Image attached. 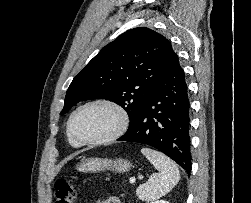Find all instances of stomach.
I'll use <instances>...</instances> for the list:
<instances>
[{"mask_svg":"<svg viewBox=\"0 0 251 203\" xmlns=\"http://www.w3.org/2000/svg\"><path fill=\"white\" fill-rule=\"evenodd\" d=\"M132 164L130 161L118 158L115 160L106 158H89L82 159L76 169L84 173H97L105 170H113L119 173H124L130 170Z\"/></svg>","mask_w":251,"mask_h":203,"instance_id":"0dacf381","label":"stomach"}]
</instances>
